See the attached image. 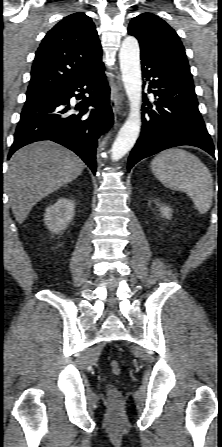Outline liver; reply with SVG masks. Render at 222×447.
<instances>
[{
	"label": "liver",
	"instance_id": "obj_1",
	"mask_svg": "<svg viewBox=\"0 0 222 447\" xmlns=\"http://www.w3.org/2000/svg\"><path fill=\"white\" fill-rule=\"evenodd\" d=\"M84 167L76 154L51 141L15 152L9 161L6 187L16 221L22 224L40 200L77 178Z\"/></svg>",
	"mask_w": 222,
	"mask_h": 447
}]
</instances>
